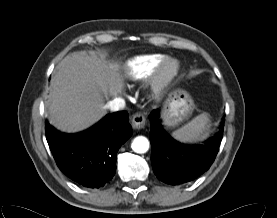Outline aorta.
I'll use <instances>...</instances> for the list:
<instances>
[{
	"label": "aorta",
	"instance_id": "aorta-1",
	"mask_svg": "<svg viewBox=\"0 0 277 218\" xmlns=\"http://www.w3.org/2000/svg\"><path fill=\"white\" fill-rule=\"evenodd\" d=\"M131 147L134 152L143 154L149 150V141L144 136H137L132 141Z\"/></svg>",
	"mask_w": 277,
	"mask_h": 218
}]
</instances>
